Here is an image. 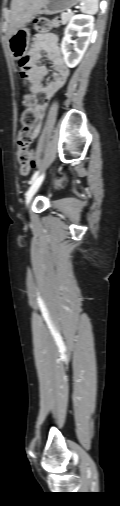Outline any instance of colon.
<instances>
[{
    "label": "colon",
    "instance_id": "obj_1",
    "mask_svg": "<svg viewBox=\"0 0 120 506\" xmlns=\"http://www.w3.org/2000/svg\"><path fill=\"white\" fill-rule=\"evenodd\" d=\"M57 23L58 21L56 19L51 20L45 17H41L35 21L34 27L38 32H47L52 27L57 25ZM27 62V57H23L19 62L20 67L23 71V77H25V67L27 65ZM35 103L36 99L33 95L28 94L24 97L23 105L25 109L21 115L22 128L20 129L17 136V161L20 167V173L24 176L28 175L33 164V153L30 149V145L32 144L34 137L32 128L37 121V117L33 109Z\"/></svg>",
    "mask_w": 120,
    "mask_h": 506
}]
</instances>
